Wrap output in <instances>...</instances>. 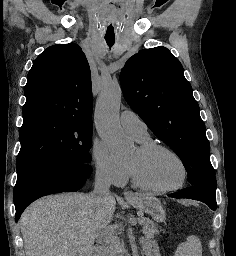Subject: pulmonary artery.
Returning a JSON list of instances; mask_svg holds the SVG:
<instances>
[{"mask_svg":"<svg viewBox=\"0 0 236 256\" xmlns=\"http://www.w3.org/2000/svg\"><path fill=\"white\" fill-rule=\"evenodd\" d=\"M120 123L124 131L130 134L136 141L148 138V131L145 123L132 110H125L119 115Z\"/></svg>","mask_w":236,"mask_h":256,"instance_id":"e3ab8cb5","label":"pulmonary artery"}]
</instances>
